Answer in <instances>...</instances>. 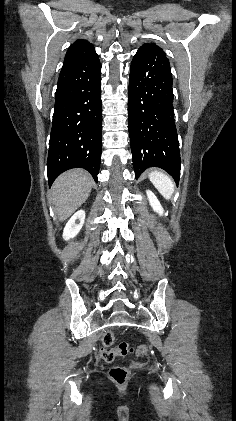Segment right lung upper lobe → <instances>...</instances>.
Here are the masks:
<instances>
[{
    "mask_svg": "<svg viewBox=\"0 0 236 421\" xmlns=\"http://www.w3.org/2000/svg\"><path fill=\"white\" fill-rule=\"evenodd\" d=\"M96 55L95 49L91 43L87 40H77L69 47L64 58L63 67Z\"/></svg>",
    "mask_w": 236,
    "mask_h": 421,
    "instance_id": "obj_1",
    "label": "right lung upper lobe"
}]
</instances>
